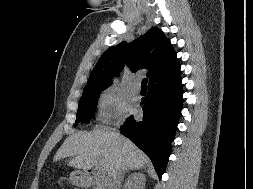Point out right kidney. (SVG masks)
Returning a JSON list of instances; mask_svg holds the SVG:
<instances>
[{
    "instance_id": "obj_1",
    "label": "right kidney",
    "mask_w": 253,
    "mask_h": 189,
    "mask_svg": "<svg viewBox=\"0 0 253 189\" xmlns=\"http://www.w3.org/2000/svg\"><path fill=\"white\" fill-rule=\"evenodd\" d=\"M132 175H134V178L132 181L129 180L130 178L128 179L126 184L127 189H144L145 176L141 173H134Z\"/></svg>"
}]
</instances>
